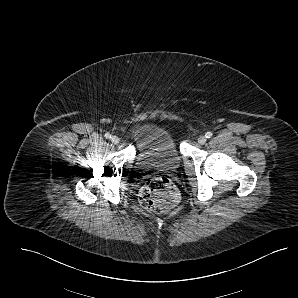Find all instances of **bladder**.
I'll use <instances>...</instances> for the list:
<instances>
[{
    "label": "bladder",
    "instance_id": "1",
    "mask_svg": "<svg viewBox=\"0 0 298 298\" xmlns=\"http://www.w3.org/2000/svg\"><path fill=\"white\" fill-rule=\"evenodd\" d=\"M138 165L163 172L176 171L181 156L171 134L155 124H139L133 129Z\"/></svg>",
    "mask_w": 298,
    "mask_h": 298
}]
</instances>
